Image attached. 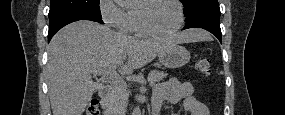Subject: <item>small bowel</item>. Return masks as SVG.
Segmentation results:
<instances>
[{
  "instance_id": "c3829d8e",
  "label": "small bowel",
  "mask_w": 285,
  "mask_h": 115,
  "mask_svg": "<svg viewBox=\"0 0 285 115\" xmlns=\"http://www.w3.org/2000/svg\"><path fill=\"white\" fill-rule=\"evenodd\" d=\"M183 103L188 115H209V109L194 96L193 86L190 82H180L176 79L158 84L152 97V109L154 114L159 115L162 104Z\"/></svg>"
}]
</instances>
